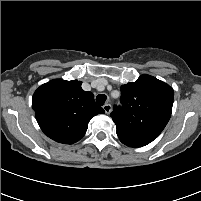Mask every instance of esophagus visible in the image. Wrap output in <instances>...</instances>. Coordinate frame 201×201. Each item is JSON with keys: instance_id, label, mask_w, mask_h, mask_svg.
Instances as JSON below:
<instances>
[{"instance_id": "1", "label": "esophagus", "mask_w": 201, "mask_h": 201, "mask_svg": "<svg viewBox=\"0 0 201 201\" xmlns=\"http://www.w3.org/2000/svg\"><path fill=\"white\" fill-rule=\"evenodd\" d=\"M103 109L105 111L106 114H110L111 111H112V106L110 103H106L104 106H103Z\"/></svg>"}]
</instances>
